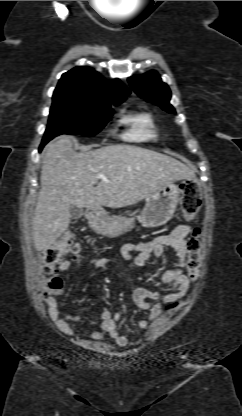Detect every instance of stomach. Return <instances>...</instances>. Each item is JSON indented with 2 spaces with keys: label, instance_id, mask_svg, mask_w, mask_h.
I'll return each mask as SVG.
<instances>
[{
  "label": "stomach",
  "instance_id": "0dacf381",
  "mask_svg": "<svg viewBox=\"0 0 242 416\" xmlns=\"http://www.w3.org/2000/svg\"><path fill=\"white\" fill-rule=\"evenodd\" d=\"M181 188L173 182L166 184L149 196L138 221L143 227L155 228L164 225L172 217L179 202ZM89 226L97 234L106 237H117L131 229L133 218L107 216L103 211L87 214Z\"/></svg>",
  "mask_w": 242,
  "mask_h": 416
}]
</instances>
